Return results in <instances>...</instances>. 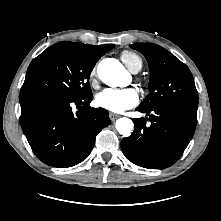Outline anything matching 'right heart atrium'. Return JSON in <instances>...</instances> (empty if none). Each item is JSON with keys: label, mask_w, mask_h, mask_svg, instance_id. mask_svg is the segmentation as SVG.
Instances as JSON below:
<instances>
[{"label": "right heart atrium", "mask_w": 221, "mask_h": 221, "mask_svg": "<svg viewBox=\"0 0 221 221\" xmlns=\"http://www.w3.org/2000/svg\"><path fill=\"white\" fill-rule=\"evenodd\" d=\"M95 78H96V67H94L89 74V80L93 86L95 85L96 82Z\"/></svg>", "instance_id": "d8ad5b80"}]
</instances>
